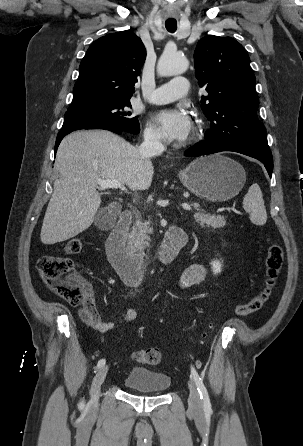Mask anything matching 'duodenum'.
Masks as SVG:
<instances>
[{
    "instance_id": "1",
    "label": "duodenum",
    "mask_w": 303,
    "mask_h": 446,
    "mask_svg": "<svg viewBox=\"0 0 303 446\" xmlns=\"http://www.w3.org/2000/svg\"><path fill=\"white\" fill-rule=\"evenodd\" d=\"M131 222V211H122L116 226L111 230L106 240L105 249L111 265L122 280L127 284L137 285L142 278L143 264L138 257L131 255L125 247V237ZM187 241V235L181 228H171L165 234L156 254V264L162 268L169 266L187 244Z\"/></svg>"
}]
</instances>
